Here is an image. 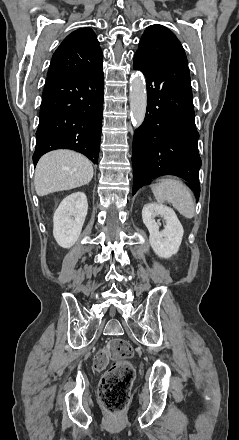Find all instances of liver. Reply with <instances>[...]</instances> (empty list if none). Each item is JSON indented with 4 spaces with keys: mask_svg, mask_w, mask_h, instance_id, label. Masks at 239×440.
Returning <instances> with one entry per match:
<instances>
[{
    "mask_svg": "<svg viewBox=\"0 0 239 440\" xmlns=\"http://www.w3.org/2000/svg\"><path fill=\"white\" fill-rule=\"evenodd\" d=\"M93 166L85 156L71 150H54L40 158L35 172L37 196L73 190L91 182Z\"/></svg>",
    "mask_w": 239,
    "mask_h": 440,
    "instance_id": "6515ba94",
    "label": "liver"
}]
</instances>
